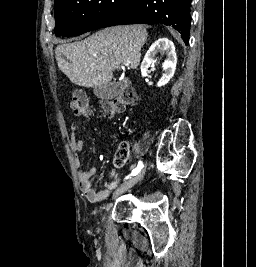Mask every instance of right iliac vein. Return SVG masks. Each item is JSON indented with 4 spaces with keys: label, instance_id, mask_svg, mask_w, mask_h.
<instances>
[{
    "label": "right iliac vein",
    "instance_id": "right-iliac-vein-1",
    "mask_svg": "<svg viewBox=\"0 0 256 267\" xmlns=\"http://www.w3.org/2000/svg\"><path fill=\"white\" fill-rule=\"evenodd\" d=\"M144 175V170H142L137 176L134 178L125 181L122 183L114 192L113 198H117L120 196L122 193L128 191L131 187H133L135 184L138 183V181L143 177Z\"/></svg>",
    "mask_w": 256,
    "mask_h": 267
}]
</instances>
